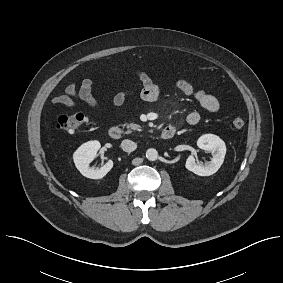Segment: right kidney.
Masks as SVG:
<instances>
[{
	"label": "right kidney",
	"mask_w": 283,
	"mask_h": 283,
	"mask_svg": "<svg viewBox=\"0 0 283 283\" xmlns=\"http://www.w3.org/2000/svg\"><path fill=\"white\" fill-rule=\"evenodd\" d=\"M99 141H89L82 144L73 154V159L76 168L79 172L90 179H101L103 178L113 167V161L108 160L105 165L100 169L90 168L89 164L94 159L97 151L100 148Z\"/></svg>",
	"instance_id": "obj_1"
}]
</instances>
